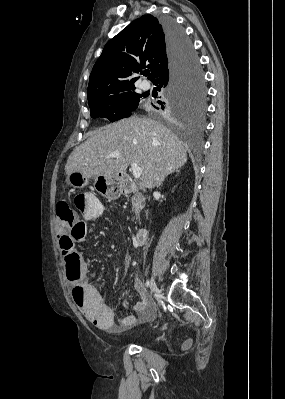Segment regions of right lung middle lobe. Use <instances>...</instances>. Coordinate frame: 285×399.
Returning a JSON list of instances; mask_svg holds the SVG:
<instances>
[{
    "label": "right lung middle lobe",
    "instance_id": "dd1d6c3e",
    "mask_svg": "<svg viewBox=\"0 0 285 399\" xmlns=\"http://www.w3.org/2000/svg\"><path fill=\"white\" fill-rule=\"evenodd\" d=\"M165 90L166 106L157 107V112L183 122L200 117L205 110V85L196 54L182 79L172 89ZM144 95L129 89L111 96L88 101L92 118L104 117L111 122L131 116L144 102Z\"/></svg>",
    "mask_w": 285,
    "mask_h": 399
}]
</instances>
